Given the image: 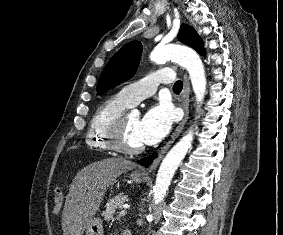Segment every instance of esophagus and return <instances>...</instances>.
Wrapping results in <instances>:
<instances>
[{
	"label": "esophagus",
	"mask_w": 283,
	"mask_h": 235,
	"mask_svg": "<svg viewBox=\"0 0 283 235\" xmlns=\"http://www.w3.org/2000/svg\"><path fill=\"white\" fill-rule=\"evenodd\" d=\"M181 106L184 111V116L182 121L179 123V125L175 128L173 131L169 141L161 148V150L158 152L157 157L153 159L152 164L148 167H141L139 168V172L144 175H149L152 171H154L158 164L160 163L163 155L165 152L169 149V147L172 145V143L175 141V139L178 137V135L181 133L182 129L184 128V125L187 122L188 116H189V101H190V82L189 77L187 74L184 75V85L183 90L181 93Z\"/></svg>",
	"instance_id": "esophagus-1"
}]
</instances>
